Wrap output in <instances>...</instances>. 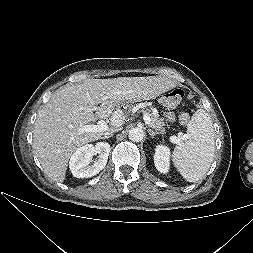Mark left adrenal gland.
Returning a JSON list of instances; mask_svg holds the SVG:
<instances>
[{
    "label": "left adrenal gland",
    "mask_w": 253,
    "mask_h": 253,
    "mask_svg": "<svg viewBox=\"0 0 253 253\" xmlns=\"http://www.w3.org/2000/svg\"><path fill=\"white\" fill-rule=\"evenodd\" d=\"M148 133H149V135L151 136V138H154V136H155L156 134H158L157 132H154V131H152L151 129L148 130Z\"/></svg>",
    "instance_id": "left-adrenal-gland-1"
}]
</instances>
